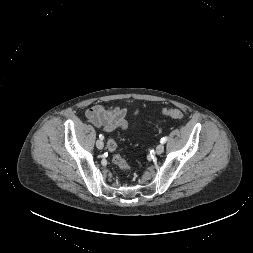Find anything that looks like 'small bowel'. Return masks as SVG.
<instances>
[{"label": "small bowel", "mask_w": 253, "mask_h": 253, "mask_svg": "<svg viewBox=\"0 0 253 253\" xmlns=\"http://www.w3.org/2000/svg\"><path fill=\"white\" fill-rule=\"evenodd\" d=\"M86 117L91 123L105 132H111L116 129L125 130L129 126L127 109L121 106L105 107L103 105H95L87 110Z\"/></svg>", "instance_id": "1"}]
</instances>
